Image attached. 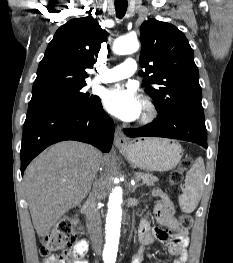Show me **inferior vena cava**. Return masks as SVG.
Returning <instances> with one entry per match:
<instances>
[{"label":"inferior vena cava","mask_w":233,"mask_h":263,"mask_svg":"<svg viewBox=\"0 0 233 263\" xmlns=\"http://www.w3.org/2000/svg\"><path fill=\"white\" fill-rule=\"evenodd\" d=\"M84 209L93 249L96 254L100 255L102 249L101 218L97 208L96 194L94 191L85 202Z\"/></svg>","instance_id":"1"}]
</instances>
